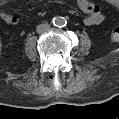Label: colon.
<instances>
[{
  "label": "colon",
  "mask_w": 119,
  "mask_h": 119,
  "mask_svg": "<svg viewBox=\"0 0 119 119\" xmlns=\"http://www.w3.org/2000/svg\"><path fill=\"white\" fill-rule=\"evenodd\" d=\"M110 37L112 41L114 42L119 41V28L118 27L112 30Z\"/></svg>",
  "instance_id": "1"
}]
</instances>
